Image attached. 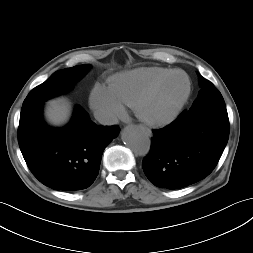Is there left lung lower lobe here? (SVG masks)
Returning <instances> with one entry per match:
<instances>
[{
	"instance_id": "obj_1",
	"label": "left lung lower lobe",
	"mask_w": 253,
	"mask_h": 253,
	"mask_svg": "<svg viewBox=\"0 0 253 253\" xmlns=\"http://www.w3.org/2000/svg\"><path fill=\"white\" fill-rule=\"evenodd\" d=\"M154 133L142 163L145 175L157 187L183 188L208 176L218 163L229 137L227 110L183 112Z\"/></svg>"
}]
</instances>
